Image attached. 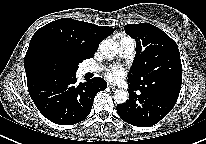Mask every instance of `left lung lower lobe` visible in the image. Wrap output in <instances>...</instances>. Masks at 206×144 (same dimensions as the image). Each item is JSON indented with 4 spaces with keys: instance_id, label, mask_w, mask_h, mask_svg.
I'll return each mask as SVG.
<instances>
[{
    "instance_id": "1",
    "label": "left lung lower lobe",
    "mask_w": 206,
    "mask_h": 144,
    "mask_svg": "<svg viewBox=\"0 0 206 144\" xmlns=\"http://www.w3.org/2000/svg\"><path fill=\"white\" fill-rule=\"evenodd\" d=\"M129 100L117 106L118 115L125 122L139 127H149L163 119L178 99L179 86L147 87L129 82Z\"/></svg>"
}]
</instances>
